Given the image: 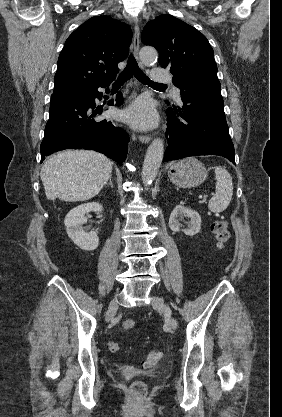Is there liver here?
<instances>
[{"mask_svg":"<svg viewBox=\"0 0 282 417\" xmlns=\"http://www.w3.org/2000/svg\"><path fill=\"white\" fill-rule=\"evenodd\" d=\"M111 160L95 150H63L43 162L40 170L49 200H89L107 184Z\"/></svg>","mask_w":282,"mask_h":417,"instance_id":"1","label":"liver"}]
</instances>
